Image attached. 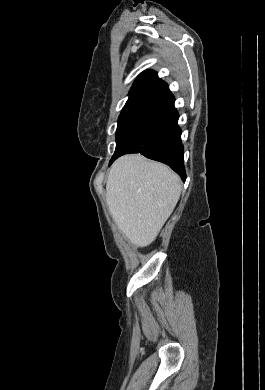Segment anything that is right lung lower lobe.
Segmentation results:
<instances>
[{
	"instance_id": "1",
	"label": "right lung lower lobe",
	"mask_w": 265,
	"mask_h": 390,
	"mask_svg": "<svg viewBox=\"0 0 265 390\" xmlns=\"http://www.w3.org/2000/svg\"><path fill=\"white\" fill-rule=\"evenodd\" d=\"M178 118L174 96L170 92L155 100L128 126L116 144L109 165L124 154L141 153L167 164L185 181L184 149Z\"/></svg>"
}]
</instances>
